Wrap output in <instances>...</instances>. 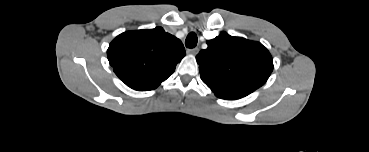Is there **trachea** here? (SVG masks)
Masks as SVG:
<instances>
[{"mask_svg":"<svg viewBox=\"0 0 369 152\" xmlns=\"http://www.w3.org/2000/svg\"><path fill=\"white\" fill-rule=\"evenodd\" d=\"M197 42H198V38H197L196 33L191 32V33L188 34V36L185 40V45H186L187 48L192 49L197 45Z\"/></svg>","mask_w":369,"mask_h":152,"instance_id":"trachea-1","label":"trachea"}]
</instances>
